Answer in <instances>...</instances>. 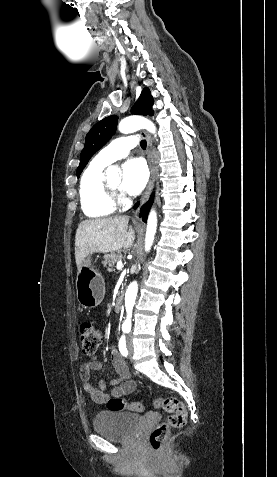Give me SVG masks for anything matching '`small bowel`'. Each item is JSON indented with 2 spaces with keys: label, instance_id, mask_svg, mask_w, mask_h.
Wrapping results in <instances>:
<instances>
[{
  "label": "small bowel",
  "instance_id": "small-bowel-1",
  "mask_svg": "<svg viewBox=\"0 0 277 477\" xmlns=\"http://www.w3.org/2000/svg\"><path fill=\"white\" fill-rule=\"evenodd\" d=\"M111 361L117 377L110 382L113 386L110 394L106 393V383L103 380H99L98 387H94L90 383V373L102 368L97 355L92 356L80 369L84 390L95 403L105 404L114 397L123 398L131 394L136 388V380L131 376L125 360L115 346L111 347Z\"/></svg>",
  "mask_w": 277,
  "mask_h": 477
}]
</instances>
